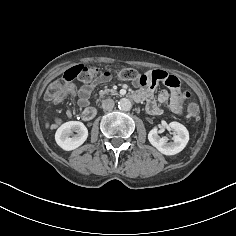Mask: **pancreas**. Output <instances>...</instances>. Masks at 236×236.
Returning <instances> with one entry per match:
<instances>
[{
	"label": "pancreas",
	"instance_id": "1",
	"mask_svg": "<svg viewBox=\"0 0 236 236\" xmlns=\"http://www.w3.org/2000/svg\"><path fill=\"white\" fill-rule=\"evenodd\" d=\"M116 91L113 89H104L99 91V98H103L105 95L115 94Z\"/></svg>",
	"mask_w": 236,
	"mask_h": 236
}]
</instances>
